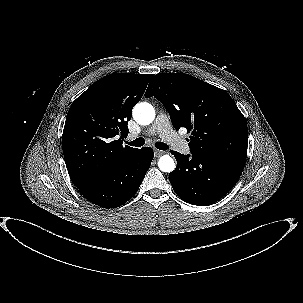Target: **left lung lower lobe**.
<instances>
[{"label":"left lung lower lobe","instance_id":"0a47b994","mask_svg":"<svg viewBox=\"0 0 303 303\" xmlns=\"http://www.w3.org/2000/svg\"><path fill=\"white\" fill-rule=\"evenodd\" d=\"M176 169L169 174L175 193L185 202L208 206L225 196L241 176L246 159L226 155L171 152Z\"/></svg>","mask_w":303,"mask_h":303}]
</instances>
